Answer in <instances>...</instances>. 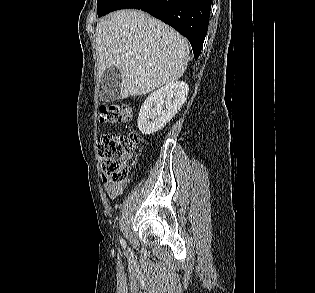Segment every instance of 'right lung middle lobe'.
Here are the masks:
<instances>
[{
    "mask_svg": "<svg viewBox=\"0 0 315 293\" xmlns=\"http://www.w3.org/2000/svg\"><path fill=\"white\" fill-rule=\"evenodd\" d=\"M112 0H98L97 2V14L98 16H102L108 8V5Z\"/></svg>",
    "mask_w": 315,
    "mask_h": 293,
    "instance_id": "obj_1",
    "label": "right lung middle lobe"
}]
</instances>
